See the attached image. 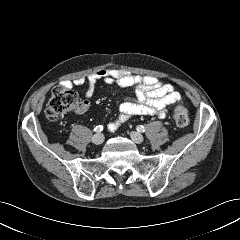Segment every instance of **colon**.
<instances>
[{"instance_id": "colon-1", "label": "colon", "mask_w": 240, "mask_h": 240, "mask_svg": "<svg viewBox=\"0 0 240 240\" xmlns=\"http://www.w3.org/2000/svg\"><path fill=\"white\" fill-rule=\"evenodd\" d=\"M80 105L78 95L73 89L57 85L51 92L45 114L49 120L58 121L64 115L77 110ZM173 117L179 127H186L190 122L187 109L181 105L175 107Z\"/></svg>"}]
</instances>
